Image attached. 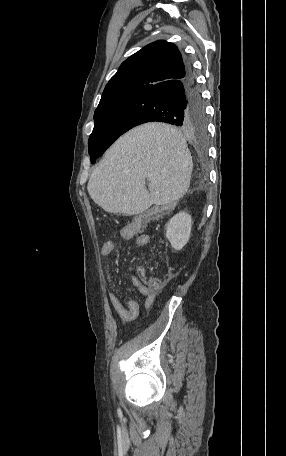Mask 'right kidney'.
I'll list each match as a JSON object with an SVG mask.
<instances>
[{
	"instance_id": "obj_1",
	"label": "right kidney",
	"mask_w": 286,
	"mask_h": 456,
	"mask_svg": "<svg viewBox=\"0 0 286 456\" xmlns=\"http://www.w3.org/2000/svg\"><path fill=\"white\" fill-rule=\"evenodd\" d=\"M192 218L185 212L173 216L167 223L166 237L175 250H181L189 241Z\"/></svg>"
}]
</instances>
